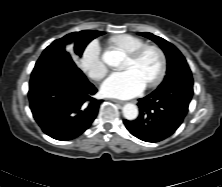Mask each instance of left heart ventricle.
<instances>
[{"instance_id": "b2bd125f", "label": "left heart ventricle", "mask_w": 222, "mask_h": 187, "mask_svg": "<svg viewBox=\"0 0 222 187\" xmlns=\"http://www.w3.org/2000/svg\"><path fill=\"white\" fill-rule=\"evenodd\" d=\"M160 68L159 55L153 51H146L139 61L133 62L129 58L126 59L123 69H133L145 85L156 77Z\"/></svg>"}]
</instances>
